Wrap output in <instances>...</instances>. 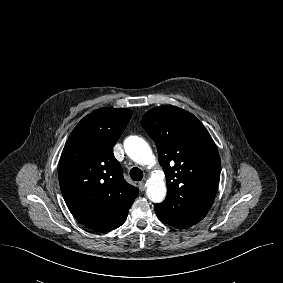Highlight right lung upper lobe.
I'll use <instances>...</instances> for the list:
<instances>
[{"label":"right lung upper lobe","mask_w":283,"mask_h":283,"mask_svg":"<svg viewBox=\"0 0 283 283\" xmlns=\"http://www.w3.org/2000/svg\"><path fill=\"white\" fill-rule=\"evenodd\" d=\"M131 115L124 108L95 110L76 125L63 149L61 192L72 215L89 229L107 232L121 226L138 195L113 154Z\"/></svg>","instance_id":"right-lung-upper-lobe-1"}]
</instances>
